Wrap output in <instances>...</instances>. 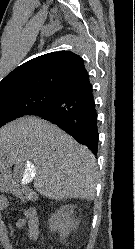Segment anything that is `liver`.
Segmentation results:
<instances>
[{"label": "liver", "instance_id": "obj_1", "mask_svg": "<svg viewBox=\"0 0 135 249\" xmlns=\"http://www.w3.org/2000/svg\"><path fill=\"white\" fill-rule=\"evenodd\" d=\"M27 162L35 165L33 186L42 196L55 200L95 198V156L56 125L33 116L0 128V168L26 166Z\"/></svg>", "mask_w": 135, "mask_h": 249}]
</instances>
